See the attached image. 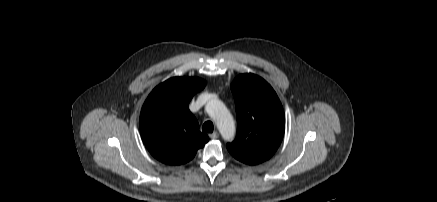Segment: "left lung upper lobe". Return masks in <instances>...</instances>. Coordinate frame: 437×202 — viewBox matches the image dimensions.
I'll return each instance as SVG.
<instances>
[{
  "mask_svg": "<svg viewBox=\"0 0 437 202\" xmlns=\"http://www.w3.org/2000/svg\"><path fill=\"white\" fill-rule=\"evenodd\" d=\"M237 114L236 139L227 149L237 160L256 165L270 159L280 146L285 130L282 104L261 77L245 73L231 84Z\"/></svg>",
  "mask_w": 437,
  "mask_h": 202,
  "instance_id": "left-lung-upper-lobe-1",
  "label": "left lung upper lobe"
}]
</instances>
